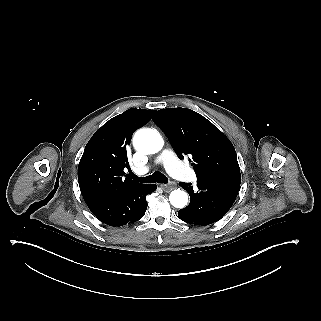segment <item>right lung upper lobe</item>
<instances>
[{
	"label": "right lung upper lobe",
	"instance_id": "right-lung-upper-lobe-1",
	"mask_svg": "<svg viewBox=\"0 0 321 321\" xmlns=\"http://www.w3.org/2000/svg\"><path fill=\"white\" fill-rule=\"evenodd\" d=\"M156 110L128 109L107 121L87 143L78 166V182L87 205L119 196L141 184L124 178L133 132Z\"/></svg>",
	"mask_w": 321,
	"mask_h": 321
}]
</instances>
